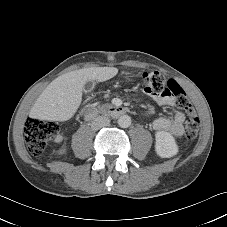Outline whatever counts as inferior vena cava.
Returning <instances> with one entry per match:
<instances>
[{"instance_id": "602c4592", "label": "inferior vena cava", "mask_w": 227, "mask_h": 227, "mask_svg": "<svg viewBox=\"0 0 227 227\" xmlns=\"http://www.w3.org/2000/svg\"><path fill=\"white\" fill-rule=\"evenodd\" d=\"M109 123H110V120L107 117L98 116L92 121L91 127L94 130H98V129L102 128V127L108 126Z\"/></svg>"}]
</instances>
